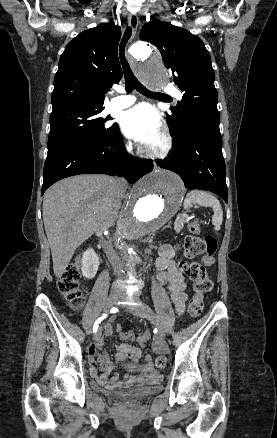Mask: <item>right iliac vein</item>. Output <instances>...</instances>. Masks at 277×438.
Returning <instances> with one entry per match:
<instances>
[{
  "label": "right iliac vein",
  "instance_id": "right-iliac-vein-1",
  "mask_svg": "<svg viewBox=\"0 0 277 438\" xmlns=\"http://www.w3.org/2000/svg\"><path fill=\"white\" fill-rule=\"evenodd\" d=\"M117 300H118V297L116 295H110L109 298L107 299L106 304H105L104 313H108L110 311V309H112L114 307ZM100 338H101V328H99L98 331L95 332V334L93 336V340L95 342H97L100 340Z\"/></svg>",
  "mask_w": 277,
  "mask_h": 438
}]
</instances>
